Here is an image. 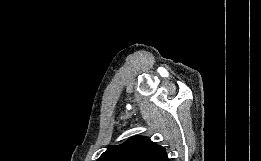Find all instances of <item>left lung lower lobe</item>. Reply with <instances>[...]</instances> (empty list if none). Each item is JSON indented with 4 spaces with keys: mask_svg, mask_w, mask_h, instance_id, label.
Returning <instances> with one entry per match:
<instances>
[{
    "mask_svg": "<svg viewBox=\"0 0 261 161\" xmlns=\"http://www.w3.org/2000/svg\"><path fill=\"white\" fill-rule=\"evenodd\" d=\"M156 161H169L166 155V152L164 151L158 158Z\"/></svg>",
    "mask_w": 261,
    "mask_h": 161,
    "instance_id": "1",
    "label": "left lung lower lobe"
}]
</instances>
